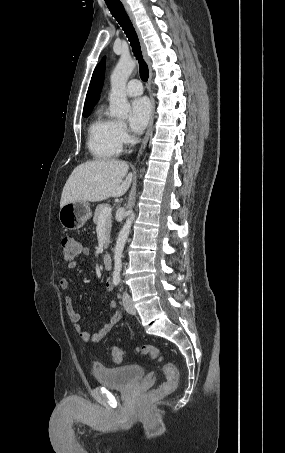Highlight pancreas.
Masks as SVG:
<instances>
[{
    "label": "pancreas",
    "mask_w": 285,
    "mask_h": 453,
    "mask_svg": "<svg viewBox=\"0 0 285 453\" xmlns=\"http://www.w3.org/2000/svg\"><path fill=\"white\" fill-rule=\"evenodd\" d=\"M106 207H109L108 204H99L97 207H96V210H95V213H94V217H93V222L95 224L98 223L99 219H100V215H101V212L104 208ZM111 222H112V216H108L106 218V222H105V227H106V237H107V241L106 243L104 244V248H107L108 246V240H109V237H110V231H111Z\"/></svg>",
    "instance_id": "obj_1"
}]
</instances>
